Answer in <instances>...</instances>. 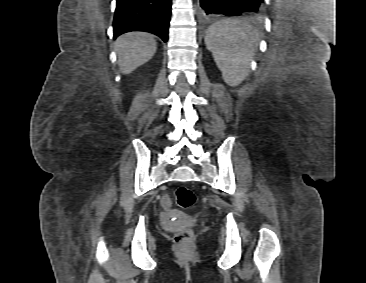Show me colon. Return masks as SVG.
Returning <instances> with one entry per match:
<instances>
[{
  "instance_id": "obj_1",
  "label": "colon",
  "mask_w": 366,
  "mask_h": 283,
  "mask_svg": "<svg viewBox=\"0 0 366 283\" xmlns=\"http://www.w3.org/2000/svg\"><path fill=\"white\" fill-rule=\"evenodd\" d=\"M196 197L191 189L185 186H180L175 190V201L177 205L183 208L192 206L195 203ZM175 242L179 246H184L191 238L189 228H176L173 230Z\"/></svg>"
}]
</instances>
